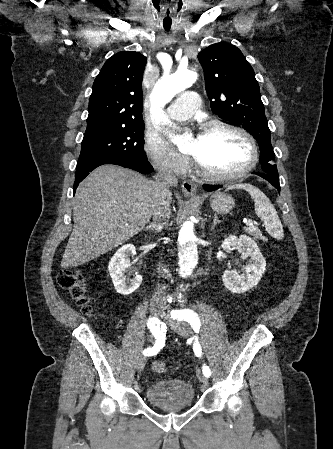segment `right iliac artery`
<instances>
[{
	"label": "right iliac artery",
	"instance_id": "obj_1",
	"mask_svg": "<svg viewBox=\"0 0 333 449\" xmlns=\"http://www.w3.org/2000/svg\"><path fill=\"white\" fill-rule=\"evenodd\" d=\"M160 321L157 318H149L148 320V328L150 332L153 334L156 339L153 347H149L143 351L144 355L152 356L157 354L162 347L164 346V336L162 335V331L160 330Z\"/></svg>",
	"mask_w": 333,
	"mask_h": 449
}]
</instances>
